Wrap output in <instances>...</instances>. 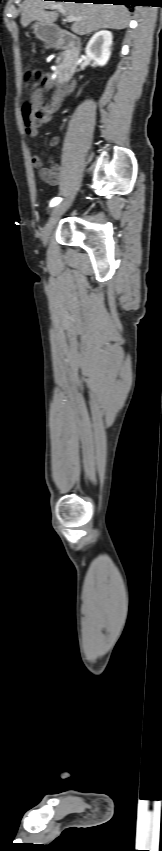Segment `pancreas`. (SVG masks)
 Masks as SVG:
<instances>
[{
	"label": "pancreas",
	"instance_id": "cf45deb5",
	"mask_svg": "<svg viewBox=\"0 0 162 851\" xmlns=\"http://www.w3.org/2000/svg\"><path fill=\"white\" fill-rule=\"evenodd\" d=\"M66 60H67V56H66L65 53L60 54L57 57V60H56L57 69L55 70V73H59L64 68V66L66 64Z\"/></svg>",
	"mask_w": 162,
	"mask_h": 851
}]
</instances>
